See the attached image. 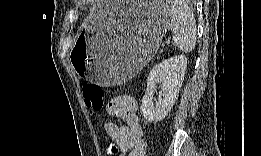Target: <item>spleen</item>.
Here are the masks:
<instances>
[{"mask_svg": "<svg viewBox=\"0 0 261 156\" xmlns=\"http://www.w3.org/2000/svg\"><path fill=\"white\" fill-rule=\"evenodd\" d=\"M172 42L182 52L189 53L196 44V20L187 1L176 0L170 3Z\"/></svg>", "mask_w": 261, "mask_h": 156, "instance_id": "1", "label": "spleen"}]
</instances>
